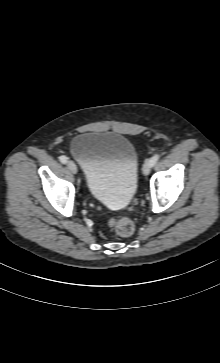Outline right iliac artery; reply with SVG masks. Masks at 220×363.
<instances>
[{
    "instance_id": "obj_1",
    "label": "right iliac artery",
    "mask_w": 220,
    "mask_h": 363,
    "mask_svg": "<svg viewBox=\"0 0 220 363\" xmlns=\"http://www.w3.org/2000/svg\"><path fill=\"white\" fill-rule=\"evenodd\" d=\"M59 160L61 163L65 164V163H67L68 158L66 156L62 155L59 157Z\"/></svg>"
}]
</instances>
